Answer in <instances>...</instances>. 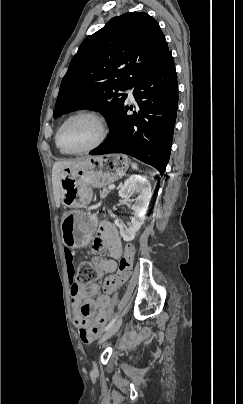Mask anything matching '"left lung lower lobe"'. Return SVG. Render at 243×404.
<instances>
[{
    "mask_svg": "<svg viewBox=\"0 0 243 404\" xmlns=\"http://www.w3.org/2000/svg\"><path fill=\"white\" fill-rule=\"evenodd\" d=\"M133 95L140 111L131 116L124 106L109 125L106 141L91 155L124 153L155 167L164 174L169 161L178 107V85L172 53L141 77ZM132 109V107L130 108Z\"/></svg>",
    "mask_w": 243,
    "mask_h": 404,
    "instance_id": "obj_1",
    "label": "left lung lower lobe"
}]
</instances>
